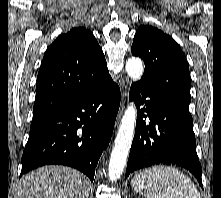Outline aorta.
<instances>
[{"label":"aorta","instance_id":"obj_1","mask_svg":"<svg viewBox=\"0 0 221 198\" xmlns=\"http://www.w3.org/2000/svg\"><path fill=\"white\" fill-rule=\"evenodd\" d=\"M126 72L132 80L140 79L143 74L141 59H128ZM136 115L135 105L130 104L122 117L109 161L108 176L111 182L117 181L123 173L134 136Z\"/></svg>","mask_w":221,"mask_h":198}]
</instances>
